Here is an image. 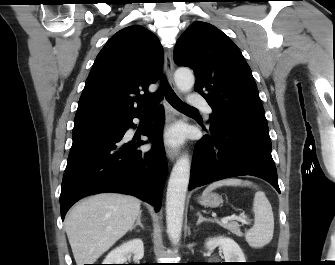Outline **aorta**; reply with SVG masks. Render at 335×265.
I'll return each instance as SVG.
<instances>
[{"label": "aorta", "instance_id": "aorta-1", "mask_svg": "<svg viewBox=\"0 0 335 265\" xmlns=\"http://www.w3.org/2000/svg\"><path fill=\"white\" fill-rule=\"evenodd\" d=\"M175 83L181 92H188L195 83L190 69L179 68L175 72ZM191 164L187 154L175 163L170 174L166 194L167 233L171 242L177 245L182 231L186 192L190 179Z\"/></svg>", "mask_w": 335, "mask_h": 265}]
</instances>
